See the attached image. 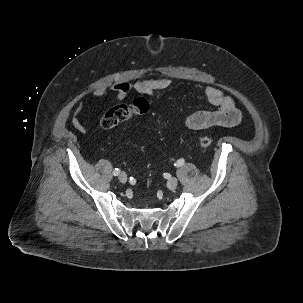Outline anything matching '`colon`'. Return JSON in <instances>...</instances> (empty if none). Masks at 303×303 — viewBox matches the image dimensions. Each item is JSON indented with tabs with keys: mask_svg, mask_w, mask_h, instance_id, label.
Masks as SVG:
<instances>
[{
	"mask_svg": "<svg viewBox=\"0 0 303 303\" xmlns=\"http://www.w3.org/2000/svg\"><path fill=\"white\" fill-rule=\"evenodd\" d=\"M150 110L149 102L145 98L139 97L131 104H118L111 107L101 117L100 125L104 129H112L130 117L147 114ZM198 143L201 148L206 149L213 144V138L205 134H199Z\"/></svg>",
	"mask_w": 303,
	"mask_h": 303,
	"instance_id": "1",
	"label": "colon"
}]
</instances>
